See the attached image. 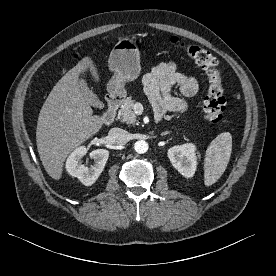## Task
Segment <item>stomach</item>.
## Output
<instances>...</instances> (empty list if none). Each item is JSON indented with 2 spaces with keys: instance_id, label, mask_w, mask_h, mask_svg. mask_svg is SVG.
<instances>
[{
  "instance_id": "stomach-1",
  "label": "stomach",
  "mask_w": 276,
  "mask_h": 276,
  "mask_svg": "<svg viewBox=\"0 0 276 276\" xmlns=\"http://www.w3.org/2000/svg\"><path fill=\"white\" fill-rule=\"evenodd\" d=\"M108 66L114 75L107 84L111 96L125 93L126 82L135 80L140 70V53L135 42L123 39L112 49Z\"/></svg>"
}]
</instances>
